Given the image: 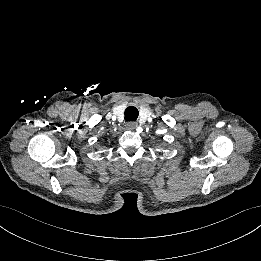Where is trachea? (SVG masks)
<instances>
[{
    "label": "trachea",
    "instance_id": "trachea-1",
    "mask_svg": "<svg viewBox=\"0 0 261 261\" xmlns=\"http://www.w3.org/2000/svg\"><path fill=\"white\" fill-rule=\"evenodd\" d=\"M138 115H139L138 109L134 106H129L125 110L126 121H136Z\"/></svg>",
    "mask_w": 261,
    "mask_h": 261
}]
</instances>
